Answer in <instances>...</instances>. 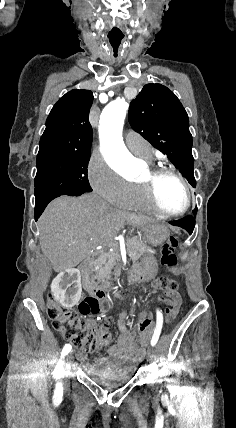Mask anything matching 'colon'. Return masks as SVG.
I'll return each mask as SVG.
<instances>
[{
	"instance_id": "1",
	"label": "colon",
	"mask_w": 236,
	"mask_h": 428,
	"mask_svg": "<svg viewBox=\"0 0 236 428\" xmlns=\"http://www.w3.org/2000/svg\"><path fill=\"white\" fill-rule=\"evenodd\" d=\"M178 246V241L175 237H170L162 246L161 249V264L173 268L177 265L178 259L175 250ZM155 285L163 290L168 298L161 296L160 299L168 303L166 309L168 319H171L179 308V283L171 277H160ZM108 303L105 300L98 299L95 296L84 298L78 310L61 306L52 294L47 297L48 315L52 321L54 329L75 348L84 352H94L99 347L105 345L109 341L108 335L93 326L84 319L85 316L98 314L106 310ZM149 320L139 315L138 325L143 327L148 324Z\"/></svg>"
}]
</instances>
